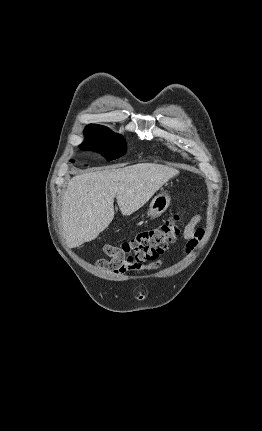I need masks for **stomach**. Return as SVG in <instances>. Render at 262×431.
<instances>
[{"label": "stomach", "instance_id": "1", "mask_svg": "<svg viewBox=\"0 0 262 431\" xmlns=\"http://www.w3.org/2000/svg\"><path fill=\"white\" fill-rule=\"evenodd\" d=\"M170 200V196L166 193L155 196L150 203L148 215L151 217L160 216L169 207Z\"/></svg>", "mask_w": 262, "mask_h": 431}]
</instances>
